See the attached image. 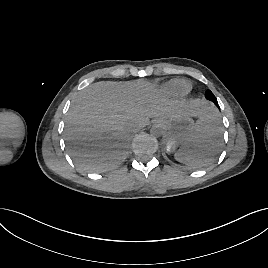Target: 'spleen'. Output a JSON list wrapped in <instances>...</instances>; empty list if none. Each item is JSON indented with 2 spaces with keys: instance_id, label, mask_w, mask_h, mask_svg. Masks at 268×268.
<instances>
[{
  "instance_id": "spleen-1",
  "label": "spleen",
  "mask_w": 268,
  "mask_h": 268,
  "mask_svg": "<svg viewBox=\"0 0 268 268\" xmlns=\"http://www.w3.org/2000/svg\"><path fill=\"white\" fill-rule=\"evenodd\" d=\"M222 125L217 114L211 111L200 118L183 147L175 153V159L194 168L206 166L216 156L220 147Z\"/></svg>"
}]
</instances>
